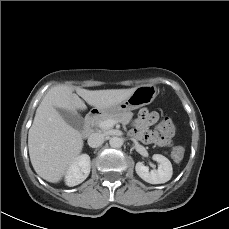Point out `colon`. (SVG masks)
<instances>
[{
	"label": "colon",
	"instance_id": "obj_1",
	"mask_svg": "<svg viewBox=\"0 0 229 229\" xmlns=\"http://www.w3.org/2000/svg\"><path fill=\"white\" fill-rule=\"evenodd\" d=\"M175 132V126L170 118H164L156 127L154 131V138L157 143L170 146L172 144V137ZM184 151L182 149H175L172 153V157L176 161H180L183 158Z\"/></svg>",
	"mask_w": 229,
	"mask_h": 229
}]
</instances>
